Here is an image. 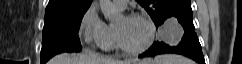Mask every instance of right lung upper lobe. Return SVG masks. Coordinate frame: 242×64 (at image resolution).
Masks as SVG:
<instances>
[{"label": "right lung upper lobe", "instance_id": "1", "mask_svg": "<svg viewBox=\"0 0 242 64\" xmlns=\"http://www.w3.org/2000/svg\"><path fill=\"white\" fill-rule=\"evenodd\" d=\"M92 0H49L45 16L86 12Z\"/></svg>", "mask_w": 242, "mask_h": 64}]
</instances>
